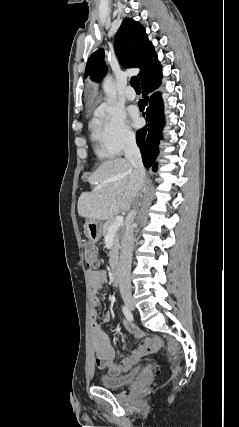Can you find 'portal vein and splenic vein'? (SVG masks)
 Returning <instances> with one entry per match:
<instances>
[{
    "label": "portal vein and splenic vein",
    "mask_w": 239,
    "mask_h": 427,
    "mask_svg": "<svg viewBox=\"0 0 239 427\" xmlns=\"http://www.w3.org/2000/svg\"><path fill=\"white\" fill-rule=\"evenodd\" d=\"M124 218L122 216H116L115 222L110 226V231H116L120 226H123Z\"/></svg>",
    "instance_id": "18ae733b"
}]
</instances>
